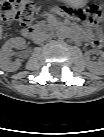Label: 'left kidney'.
Instances as JSON below:
<instances>
[{"label":"left kidney","instance_id":"obj_1","mask_svg":"<svg viewBox=\"0 0 104 137\" xmlns=\"http://www.w3.org/2000/svg\"><path fill=\"white\" fill-rule=\"evenodd\" d=\"M101 54H102V52H101ZM88 67L91 71L102 72L103 68H104V63H103V61H97L95 63L89 62Z\"/></svg>","mask_w":104,"mask_h":137}]
</instances>
